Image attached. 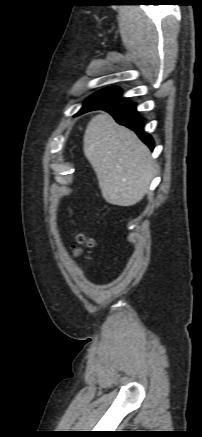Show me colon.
<instances>
[{
    "mask_svg": "<svg viewBox=\"0 0 202 437\" xmlns=\"http://www.w3.org/2000/svg\"><path fill=\"white\" fill-rule=\"evenodd\" d=\"M93 244H94V241L92 238L87 237L84 234H79L77 236V244L73 245V251L76 255L80 254V252L82 251L81 246L92 247Z\"/></svg>",
    "mask_w": 202,
    "mask_h": 437,
    "instance_id": "5ec220e1",
    "label": "colon"
}]
</instances>
